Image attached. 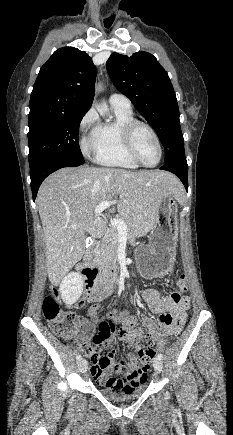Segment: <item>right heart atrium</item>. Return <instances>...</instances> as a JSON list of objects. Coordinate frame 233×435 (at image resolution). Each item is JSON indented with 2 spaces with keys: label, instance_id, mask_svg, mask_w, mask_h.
<instances>
[{
  "label": "right heart atrium",
  "instance_id": "d8ad5b80",
  "mask_svg": "<svg viewBox=\"0 0 233 435\" xmlns=\"http://www.w3.org/2000/svg\"><path fill=\"white\" fill-rule=\"evenodd\" d=\"M98 121L99 119L96 111L94 109H90L81 119L80 130L84 131L90 127H95L96 129ZM81 149L85 156H90V154L96 150L93 133L89 137L81 140Z\"/></svg>",
  "mask_w": 233,
  "mask_h": 435
}]
</instances>
